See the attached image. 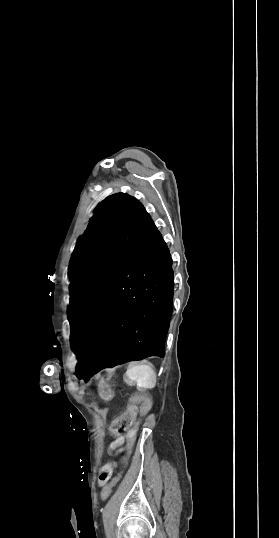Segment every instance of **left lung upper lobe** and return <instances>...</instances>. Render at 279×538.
<instances>
[{
    "mask_svg": "<svg viewBox=\"0 0 279 538\" xmlns=\"http://www.w3.org/2000/svg\"><path fill=\"white\" fill-rule=\"evenodd\" d=\"M153 225L143 205L127 194L112 195L100 204L69 265L71 330L83 321Z\"/></svg>",
    "mask_w": 279,
    "mask_h": 538,
    "instance_id": "obj_1",
    "label": "left lung upper lobe"
}]
</instances>
